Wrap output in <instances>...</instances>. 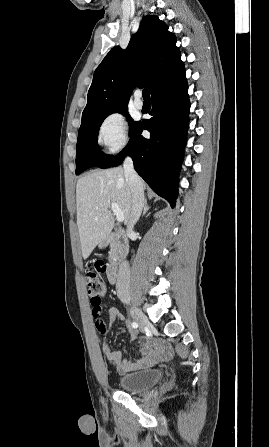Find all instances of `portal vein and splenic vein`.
<instances>
[{"instance_id": "1", "label": "portal vein and splenic vein", "mask_w": 269, "mask_h": 447, "mask_svg": "<svg viewBox=\"0 0 269 447\" xmlns=\"http://www.w3.org/2000/svg\"><path fill=\"white\" fill-rule=\"evenodd\" d=\"M111 210H112V212H114L117 222H123L124 214H123L122 210H120L118 204H115V202H114V204H111Z\"/></svg>"}]
</instances>
